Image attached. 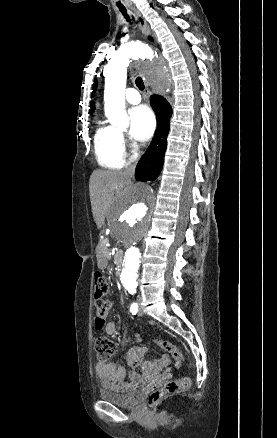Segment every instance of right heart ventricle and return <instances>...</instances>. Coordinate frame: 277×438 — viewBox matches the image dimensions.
<instances>
[{
    "label": "right heart ventricle",
    "mask_w": 277,
    "mask_h": 438,
    "mask_svg": "<svg viewBox=\"0 0 277 438\" xmlns=\"http://www.w3.org/2000/svg\"><path fill=\"white\" fill-rule=\"evenodd\" d=\"M120 135L121 132L115 125L104 124L96 131L95 154L98 163L105 168L119 170L124 165L125 155L121 149Z\"/></svg>",
    "instance_id": "right-heart-ventricle-1"
}]
</instances>
